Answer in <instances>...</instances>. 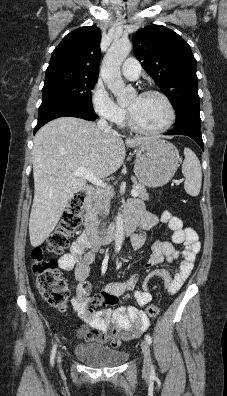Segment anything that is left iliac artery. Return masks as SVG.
<instances>
[{"instance_id": "44dca946", "label": "left iliac artery", "mask_w": 227, "mask_h": 396, "mask_svg": "<svg viewBox=\"0 0 227 396\" xmlns=\"http://www.w3.org/2000/svg\"><path fill=\"white\" fill-rule=\"evenodd\" d=\"M145 340L147 341V343L150 345L152 343V338L150 335H146L145 336ZM151 372L154 373V366H151Z\"/></svg>"}]
</instances>
